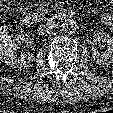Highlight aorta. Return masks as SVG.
<instances>
[{"mask_svg": "<svg viewBox=\"0 0 113 113\" xmlns=\"http://www.w3.org/2000/svg\"><path fill=\"white\" fill-rule=\"evenodd\" d=\"M61 27L62 31L66 34H72L78 29L77 22L73 19H66Z\"/></svg>", "mask_w": 113, "mask_h": 113, "instance_id": "aorta-1", "label": "aorta"}]
</instances>
